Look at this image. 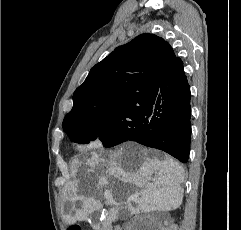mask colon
Returning <instances> with one entry per match:
<instances>
[{
	"label": "colon",
	"instance_id": "5ec220e1",
	"mask_svg": "<svg viewBox=\"0 0 241 230\" xmlns=\"http://www.w3.org/2000/svg\"><path fill=\"white\" fill-rule=\"evenodd\" d=\"M68 230H81L78 226H72Z\"/></svg>",
	"mask_w": 241,
	"mask_h": 230
}]
</instances>
